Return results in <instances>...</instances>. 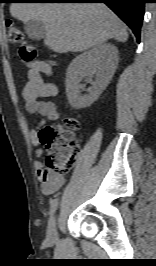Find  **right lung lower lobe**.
I'll return each mask as SVG.
<instances>
[{
    "mask_svg": "<svg viewBox=\"0 0 156 266\" xmlns=\"http://www.w3.org/2000/svg\"><path fill=\"white\" fill-rule=\"evenodd\" d=\"M60 3H105L133 31L137 41L140 39V29L144 17L146 0H47Z\"/></svg>",
    "mask_w": 156,
    "mask_h": 266,
    "instance_id": "1",
    "label": "right lung lower lobe"
}]
</instances>
